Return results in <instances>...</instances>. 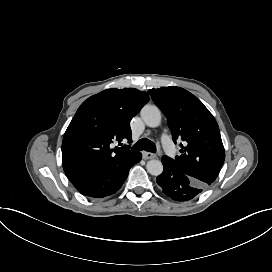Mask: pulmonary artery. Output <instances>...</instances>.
<instances>
[{
    "instance_id": "1",
    "label": "pulmonary artery",
    "mask_w": 272,
    "mask_h": 272,
    "mask_svg": "<svg viewBox=\"0 0 272 272\" xmlns=\"http://www.w3.org/2000/svg\"><path fill=\"white\" fill-rule=\"evenodd\" d=\"M161 132L164 135L160 139V144L162 145V150L171 157V159L174 163H177L179 161V158L176 154L177 150L175 148V145L173 144V139L170 137V135L172 133L171 130L165 127L162 129Z\"/></svg>"
}]
</instances>
